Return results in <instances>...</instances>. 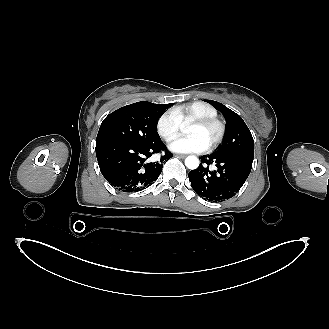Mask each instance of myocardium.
Here are the masks:
<instances>
[{
	"label": "myocardium",
	"instance_id": "1",
	"mask_svg": "<svg viewBox=\"0 0 329 329\" xmlns=\"http://www.w3.org/2000/svg\"><path fill=\"white\" fill-rule=\"evenodd\" d=\"M191 124L207 127V126H215L217 128V135L212 143L207 147L208 151H212L216 149L221 142L223 141L226 134V125L225 123L217 117H202L196 118L191 121Z\"/></svg>",
	"mask_w": 329,
	"mask_h": 329
}]
</instances>
